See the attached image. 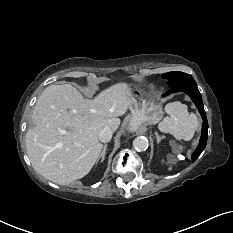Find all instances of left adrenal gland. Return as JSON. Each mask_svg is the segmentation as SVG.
I'll return each mask as SVG.
<instances>
[{"mask_svg":"<svg viewBox=\"0 0 233 233\" xmlns=\"http://www.w3.org/2000/svg\"><path fill=\"white\" fill-rule=\"evenodd\" d=\"M156 136H157V141L159 142L161 140V137L158 134H156Z\"/></svg>","mask_w":233,"mask_h":233,"instance_id":"obj_1","label":"left adrenal gland"}]
</instances>
